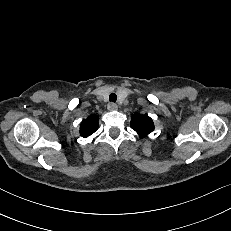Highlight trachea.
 <instances>
[{"label": "trachea", "instance_id": "trachea-1", "mask_svg": "<svg viewBox=\"0 0 231 231\" xmlns=\"http://www.w3.org/2000/svg\"><path fill=\"white\" fill-rule=\"evenodd\" d=\"M117 100V96L115 93H111L110 96H109V101L111 102H116Z\"/></svg>", "mask_w": 231, "mask_h": 231}]
</instances>
